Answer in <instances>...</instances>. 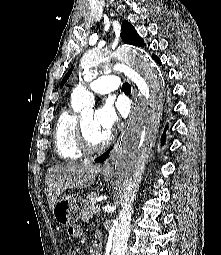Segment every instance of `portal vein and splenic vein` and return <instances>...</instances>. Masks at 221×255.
Masks as SVG:
<instances>
[{
	"mask_svg": "<svg viewBox=\"0 0 221 255\" xmlns=\"http://www.w3.org/2000/svg\"><path fill=\"white\" fill-rule=\"evenodd\" d=\"M100 212V206L99 205H96L94 207V214H98Z\"/></svg>",
	"mask_w": 221,
	"mask_h": 255,
	"instance_id": "obj_1",
	"label": "portal vein and splenic vein"
}]
</instances>
